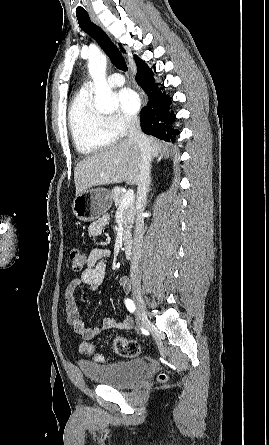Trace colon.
Returning <instances> with one entry per match:
<instances>
[{"label":"colon","instance_id":"colon-1","mask_svg":"<svg viewBox=\"0 0 269 445\" xmlns=\"http://www.w3.org/2000/svg\"><path fill=\"white\" fill-rule=\"evenodd\" d=\"M69 259L72 270L74 272H80L86 265L87 257L81 250L72 249L69 253ZM114 349L120 356L125 358H135L141 353V347L136 341L128 340L122 337H117L114 340ZM80 352L98 362L107 361L105 357L96 354L94 346L91 343H82L80 346ZM165 379L166 376L161 374L160 380L164 381Z\"/></svg>","mask_w":269,"mask_h":445}]
</instances>
